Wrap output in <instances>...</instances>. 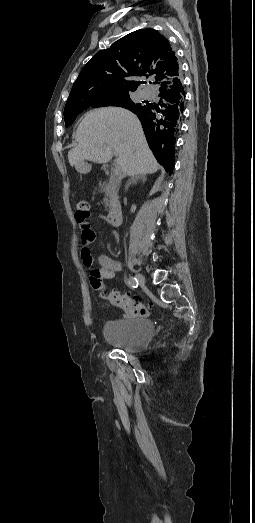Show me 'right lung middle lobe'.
<instances>
[{
    "instance_id": "1",
    "label": "right lung middle lobe",
    "mask_w": 255,
    "mask_h": 523,
    "mask_svg": "<svg viewBox=\"0 0 255 523\" xmlns=\"http://www.w3.org/2000/svg\"><path fill=\"white\" fill-rule=\"evenodd\" d=\"M130 94H123V95H113V96H107L100 98L95 101L86 102V103H74V104H66L64 109V119H65V125L66 127L70 126L77 115L81 113L86 108L92 106V107H103V106H121L124 107V105L130 101Z\"/></svg>"
}]
</instances>
